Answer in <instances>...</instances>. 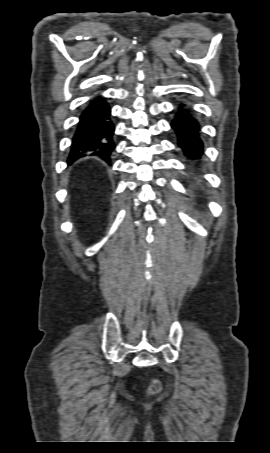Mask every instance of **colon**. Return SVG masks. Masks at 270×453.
<instances>
[{
    "instance_id": "obj_1",
    "label": "colon",
    "mask_w": 270,
    "mask_h": 453,
    "mask_svg": "<svg viewBox=\"0 0 270 453\" xmlns=\"http://www.w3.org/2000/svg\"><path fill=\"white\" fill-rule=\"evenodd\" d=\"M160 388H161L160 382L158 380H153L150 385V392L156 393L160 390Z\"/></svg>"
}]
</instances>
